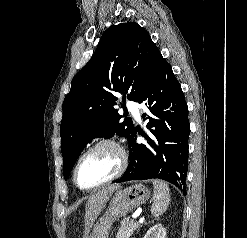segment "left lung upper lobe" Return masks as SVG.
I'll use <instances>...</instances> for the list:
<instances>
[{
	"mask_svg": "<svg viewBox=\"0 0 247 238\" xmlns=\"http://www.w3.org/2000/svg\"><path fill=\"white\" fill-rule=\"evenodd\" d=\"M164 60L149 33L135 22L109 27L90 61L73 78L63 102L60 126L64 178L68 177L86 144L94 138L114 134L131 138L130 118L120 121L115 108L123 94L137 102Z\"/></svg>",
	"mask_w": 247,
	"mask_h": 238,
	"instance_id": "5c2ea615",
	"label": "left lung upper lobe"
}]
</instances>
